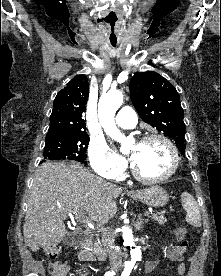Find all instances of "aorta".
<instances>
[{"mask_svg":"<svg viewBox=\"0 0 221 276\" xmlns=\"http://www.w3.org/2000/svg\"><path fill=\"white\" fill-rule=\"evenodd\" d=\"M123 103V94L121 91H111L101 96L98 104V117L105 133L112 139L124 143V135L115 124V114ZM124 244L131 247V260L127 263L133 266L141 260L140 247L135 246L132 230L124 226L122 228Z\"/></svg>","mask_w":221,"mask_h":276,"instance_id":"762f6f07","label":"aorta"}]
</instances>
